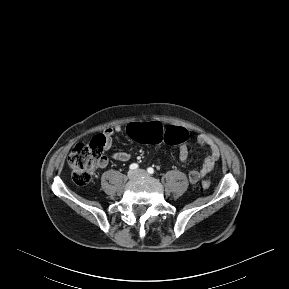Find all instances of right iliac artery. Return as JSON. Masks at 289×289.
Returning <instances> with one entry per match:
<instances>
[{
    "label": "right iliac artery",
    "instance_id": "right-iliac-artery-1",
    "mask_svg": "<svg viewBox=\"0 0 289 289\" xmlns=\"http://www.w3.org/2000/svg\"><path fill=\"white\" fill-rule=\"evenodd\" d=\"M131 170H135V169H137L138 168V164H136V163H133V164H131L130 165V167H129Z\"/></svg>",
    "mask_w": 289,
    "mask_h": 289
}]
</instances>
